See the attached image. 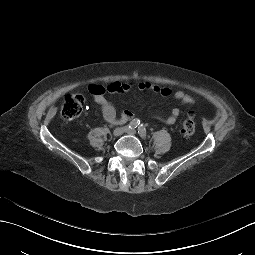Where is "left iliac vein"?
<instances>
[{
    "label": "left iliac vein",
    "mask_w": 255,
    "mask_h": 255,
    "mask_svg": "<svg viewBox=\"0 0 255 255\" xmlns=\"http://www.w3.org/2000/svg\"><path fill=\"white\" fill-rule=\"evenodd\" d=\"M125 132L130 135H136V130L132 128H126Z\"/></svg>",
    "instance_id": "obj_1"
}]
</instances>
